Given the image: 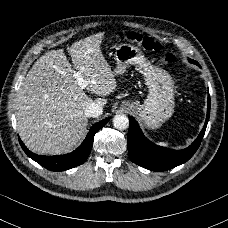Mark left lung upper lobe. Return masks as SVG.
<instances>
[{
  "label": "left lung upper lobe",
  "instance_id": "5c2ea615",
  "mask_svg": "<svg viewBox=\"0 0 228 228\" xmlns=\"http://www.w3.org/2000/svg\"><path fill=\"white\" fill-rule=\"evenodd\" d=\"M190 62H191V63H195V64H197L198 66H200V65H199L197 62H195L194 60H191V59H190Z\"/></svg>",
  "mask_w": 228,
  "mask_h": 228
}]
</instances>
